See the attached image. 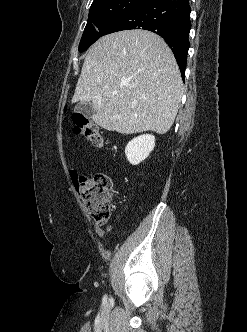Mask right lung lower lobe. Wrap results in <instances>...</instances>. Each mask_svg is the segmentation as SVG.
Returning a JSON list of instances; mask_svg holds the SVG:
<instances>
[{"instance_id":"1","label":"right lung lower lobe","mask_w":247,"mask_h":332,"mask_svg":"<svg viewBox=\"0 0 247 332\" xmlns=\"http://www.w3.org/2000/svg\"><path fill=\"white\" fill-rule=\"evenodd\" d=\"M190 12L189 0H147L112 23L104 35L130 29L160 35L173 51L184 80L190 47Z\"/></svg>"}]
</instances>
